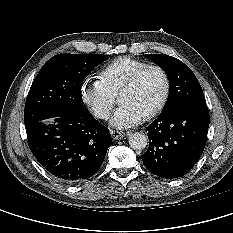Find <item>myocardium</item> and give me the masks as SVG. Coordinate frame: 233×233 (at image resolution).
Here are the masks:
<instances>
[{
	"instance_id": "myocardium-1",
	"label": "myocardium",
	"mask_w": 233,
	"mask_h": 233,
	"mask_svg": "<svg viewBox=\"0 0 233 233\" xmlns=\"http://www.w3.org/2000/svg\"><path fill=\"white\" fill-rule=\"evenodd\" d=\"M149 70H157L162 74V76L164 78V92H163L161 99L156 104V106L151 111H149L147 114H145L142 117V120H150V119L154 118L155 116H157L161 112V110L164 108V106L166 105V103L168 101L170 91H171V79H170V76H169L168 72L166 71V69L160 65L148 64V65L140 68L139 70H137L127 80V82L124 84V86L122 87V89L119 92V97H120L121 95L131 91L136 86V84L138 83L140 78L143 76V74Z\"/></svg>"
}]
</instances>
